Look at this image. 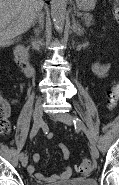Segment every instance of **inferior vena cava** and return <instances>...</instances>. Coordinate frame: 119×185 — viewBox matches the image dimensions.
<instances>
[{
  "label": "inferior vena cava",
  "mask_w": 119,
  "mask_h": 185,
  "mask_svg": "<svg viewBox=\"0 0 119 185\" xmlns=\"http://www.w3.org/2000/svg\"><path fill=\"white\" fill-rule=\"evenodd\" d=\"M37 17L39 18V20L41 19V17H42V14H37ZM35 33H36V35H39V31L38 30H35Z\"/></svg>",
  "instance_id": "1"
}]
</instances>
